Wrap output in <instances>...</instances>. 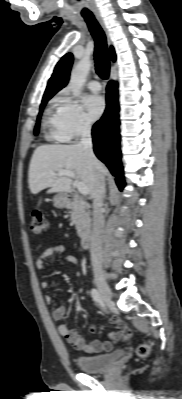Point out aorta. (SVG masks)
Instances as JSON below:
<instances>
[{
	"label": "aorta",
	"mask_w": 182,
	"mask_h": 399,
	"mask_svg": "<svg viewBox=\"0 0 182 399\" xmlns=\"http://www.w3.org/2000/svg\"><path fill=\"white\" fill-rule=\"evenodd\" d=\"M92 61L89 57H83L73 68L69 81V88L74 97L81 94L86 77L91 69Z\"/></svg>",
	"instance_id": "762f6f07"
}]
</instances>
